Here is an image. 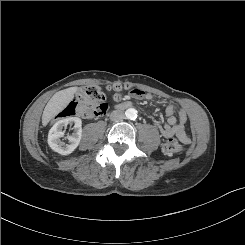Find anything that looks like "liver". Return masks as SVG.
<instances>
[{"label":"liver","instance_id":"obj_1","mask_svg":"<svg viewBox=\"0 0 245 245\" xmlns=\"http://www.w3.org/2000/svg\"><path fill=\"white\" fill-rule=\"evenodd\" d=\"M77 87H70L55 93L44 108L42 124L46 126L52 118L60 113L73 100Z\"/></svg>","mask_w":245,"mask_h":245}]
</instances>
